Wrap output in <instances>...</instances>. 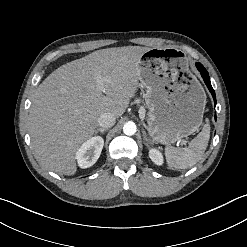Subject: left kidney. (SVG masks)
I'll return each mask as SVG.
<instances>
[{
	"label": "left kidney",
	"instance_id": "5707ae66",
	"mask_svg": "<svg viewBox=\"0 0 247 247\" xmlns=\"http://www.w3.org/2000/svg\"><path fill=\"white\" fill-rule=\"evenodd\" d=\"M149 157L150 159L156 164V165H162L163 164V156L161 152L157 149H150L149 150Z\"/></svg>",
	"mask_w": 247,
	"mask_h": 247
}]
</instances>
